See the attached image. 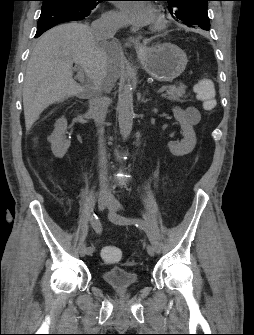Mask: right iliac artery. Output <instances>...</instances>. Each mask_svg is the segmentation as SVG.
Wrapping results in <instances>:
<instances>
[{
  "mask_svg": "<svg viewBox=\"0 0 254 335\" xmlns=\"http://www.w3.org/2000/svg\"><path fill=\"white\" fill-rule=\"evenodd\" d=\"M90 224L97 234H101L102 225H101L99 218L95 214H92L90 216ZM94 251H95L94 247H91V246L87 247V255L92 256Z\"/></svg>",
  "mask_w": 254,
  "mask_h": 335,
  "instance_id": "82829eb1",
  "label": "right iliac artery"
}]
</instances>
